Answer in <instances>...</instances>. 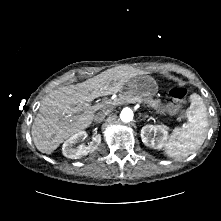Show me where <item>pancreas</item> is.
Wrapping results in <instances>:
<instances>
[{"mask_svg": "<svg viewBox=\"0 0 221 221\" xmlns=\"http://www.w3.org/2000/svg\"><path fill=\"white\" fill-rule=\"evenodd\" d=\"M123 98L127 101H131L132 99L137 98V99L141 100V102H143L144 104H147L148 107H151V108H157L160 103V100H154L149 95H147V96H144V95L134 96L133 94L128 93V94L123 95Z\"/></svg>", "mask_w": 221, "mask_h": 221, "instance_id": "cf45deb5", "label": "pancreas"}]
</instances>
